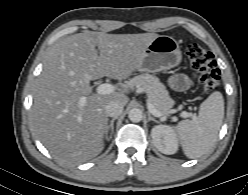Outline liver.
<instances>
[{
  "instance_id": "obj_1",
  "label": "liver",
  "mask_w": 248,
  "mask_h": 195,
  "mask_svg": "<svg viewBox=\"0 0 248 195\" xmlns=\"http://www.w3.org/2000/svg\"><path fill=\"white\" fill-rule=\"evenodd\" d=\"M158 36L85 31L58 41L49 50L35 89L31 123L56 160L83 163L103 150L108 125L105 106L110 101L124 106L129 98L119 88L111 94H93L90 81L104 76L129 78Z\"/></svg>"
}]
</instances>
